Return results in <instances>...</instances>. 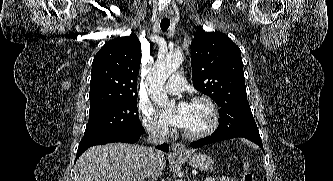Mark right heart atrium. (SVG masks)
Wrapping results in <instances>:
<instances>
[{
    "label": "right heart atrium",
    "mask_w": 333,
    "mask_h": 181,
    "mask_svg": "<svg viewBox=\"0 0 333 181\" xmlns=\"http://www.w3.org/2000/svg\"><path fill=\"white\" fill-rule=\"evenodd\" d=\"M139 114L146 130L153 136L164 137L168 128L155 117L154 111L147 105L139 106Z\"/></svg>",
    "instance_id": "1"
}]
</instances>
